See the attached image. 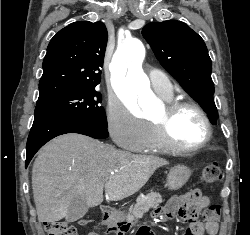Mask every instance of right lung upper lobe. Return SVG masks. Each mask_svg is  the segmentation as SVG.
Here are the masks:
<instances>
[{"label": "right lung upper lobe", "instance_id": "right-lung-upper-lobe-1", "mask_svg": "<svg viewBox=\"0 0 250 235\" xmlns=\"http://www.w3.org/2000/svg\"><path fill=\"white\" fill-rule=\"evenodd\" d=\"M107 37L102 22H74L60 30L47 48L39 97L99 84Z\"/></svg>", "mask_w": 250, "mask_h": 235}]
</instances>
